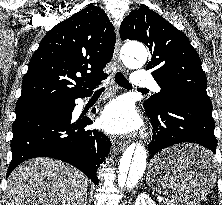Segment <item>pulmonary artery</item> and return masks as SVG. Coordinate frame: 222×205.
<instances>
[{"label": "pulmonary artery", "instance_id": "1", "mask_svg": "<svg viewBox=\"0 0 222 205\" xmlns=\"http://www.w3.org/2000/svg\"><path fill=\"white\" fill-rule=\"evenodd\" d=\"M132 85L138 89L158 90L155 79L146 71H135L132 76Z\"/></svg>", "mask_w": 222, "mask_h": 205}]
</instances>
